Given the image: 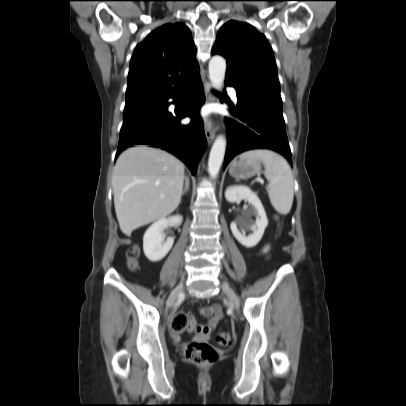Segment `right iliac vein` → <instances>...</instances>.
<instances>
[{"label": "right iliac vein", "mask_w": 406, "mask_h": 406, "mask_svg": "<svg viewBox=\"0 0 406 406\" xmlns=\"http://www.w3.org/2000/svg\"><path fill=\"white\" fill-rule=\"evenodd\" d=\"M183 287L184 284L183 282H180L175 288L174 290L171 292V294L169 295L167 302H166V307L169 308L172 306V304L175 302V300L177 299V297L182 293L183 291Z\"/></svg>", "instance_id": "obj_1"}]
</instances>
